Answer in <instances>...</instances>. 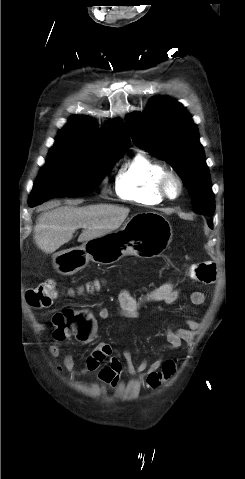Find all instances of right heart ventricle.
I'll list each match as a JSON object with an SVG mask.
<instances>
[{"label": "right heart ventricle", "mask_w": 245, "mask_h": 479, "mask_svg": "<svg viewBox=\"0 0 245 479\" xmlns=\"http://www.w3.org/2000/svg\"><path fill=\"white\" fill-rule=\"evenodd\" d=\"M167 171L160 162L146 154L136 153L120 168L116 180L115 191L125 200L144 205H156L164 198L158 188L159 179Z\"/></svg>", "instance_id": "1"}]
</instances>
